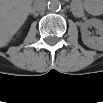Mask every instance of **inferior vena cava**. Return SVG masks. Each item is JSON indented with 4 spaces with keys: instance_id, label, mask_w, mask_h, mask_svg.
<instances>
[{
    "instance_id": "602c4592",
    "label": "inferior vena cava",
    "mask_w": 103,
    "mask_h": 103,
    "mask_svg": "<svg viewBox=\"0 0 103 103\" xmlns=\"http://www.w3.org/2000/svg\"><path fill=\"white\" fill-rule=\"evenodd\" d=\"M46 8V2L44 0H36L33 3V10L36 12H42Z\"/></svg>"
}]
</instances>
